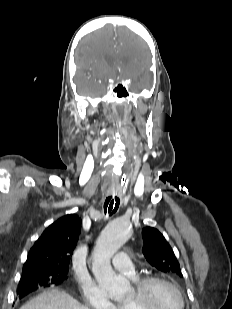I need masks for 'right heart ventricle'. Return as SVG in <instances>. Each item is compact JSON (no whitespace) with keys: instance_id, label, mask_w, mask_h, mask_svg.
<instances>
[{"instance_id":"right-heart-ventricle-1","label":"right heart ventricle","mask_w":232,"mask_h":309,"mask_svg":"<svg viewBox=\"0 0 232 309\" xmlns=\"http://www.w3.org/2000/svg\"><path fill=\"white\" fill-rule=\"evenodd\" d=\"M133 280L137 281L138 278L137 277H133ZM114 309H132V307L128 304V302L126 300V301H123V302L116 303Z\"/></svg>"}]
</instances>
